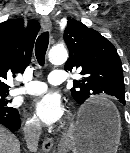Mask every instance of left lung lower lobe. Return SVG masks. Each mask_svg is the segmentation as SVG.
<instances>
[{
  "instance_id": "0a47b994",
  "label": "left lung lower lobe",
  "mask_w": 130,
  "mask_h": 153,
  "mask_svg": "<svg viewBox=\"0 0 130 153\" xmlns=\"http://www.w3.org/2000/svg\"><path fill=\"white\" fill-rule=\"evenodd\" d=\"M120 102L125 105V100H121ZM108 111H109L108 108H104V109L88 108L83 112V118L85 120H91L93 117L101 113H106Z\"/></svg>"
}]
</instances>
